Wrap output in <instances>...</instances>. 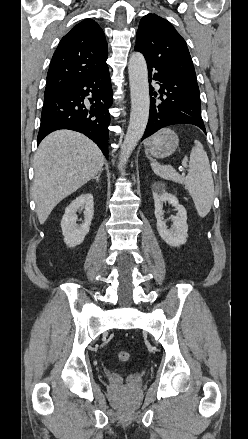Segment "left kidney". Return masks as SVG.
<instances>
[{"label":"left kidney","mask_w":248,"mask_h":439,"mask_svg":"<svg viewBox=\"0 0 248 439\" xmlns=\"http://www.w3.org/2000/svg\"><path fill=\"white\" fill-rule=\"evenodd\" d=\"M152 194L155 206V217L157 219V230L161 238L170 246L179 247L187 241V212L184 206L179 204L177 197L165 191L162 183L152 185ZM171 204L178 212L172 216L173 228L168 229L163 215V204Z\"/></svg>","instance_id":"obj_1"}]
</instances>
